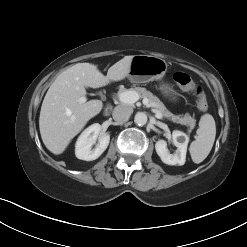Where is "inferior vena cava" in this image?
<instances>
[{"instance_id": "602c4592", "label": "inferior vena cava", "mask_w": 247, "mask_h": 247, "mask_svg": "<svg viewBox=\"0 0 247 247\" xmlns=\"http://www.w3.org/2000/svg\"><path fill=\"white\" fill-rule=\"evenodd\" d=\"M132 113L133 109L131 107L126 105H118L113 110V119L119 122L126 121Z\"/></svg>"}]
</instances>
